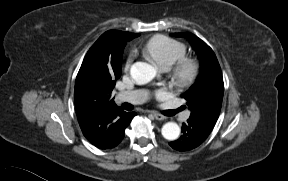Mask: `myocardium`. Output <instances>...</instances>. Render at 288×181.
Masks as SVG:
<instances>
[{
    "instance_id": "obj_1",
    "label": "myocardium",
    "mask_w": 288,
    "mask_h": 181,
    "mask_svg": "<svg viewBox=\"0 0 288 181\" xmlns=\"http://www.w3.org/2000/svg\"><path fill=\"white\" fill-rule=\"evenodd\" d=\"M171 73L175 85L186 87L197 79L199 75V64L194 59L182 58L172 67Z\"/></svg>"
}]
</instances>
